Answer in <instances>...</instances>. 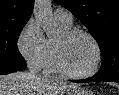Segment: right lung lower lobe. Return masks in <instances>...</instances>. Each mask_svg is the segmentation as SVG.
I'll use <instances>...</instances> for the list:
<instances>
[{"label": "right lung lower lobe", "mask_w": 119, "mask_h": 95, "mask_svg": "<svg viewBox=\"0 0 119 95\" xmlns=\"http://www.w3.org/2000/svg\"><path fill=\"white\" fill-rule=\"evenodd\" d=\"M26 68V65L4 64L0 63V75L9 74L16 71H21Z\"/></svg>", "instance_id": "obj_1"}]
</instances>
